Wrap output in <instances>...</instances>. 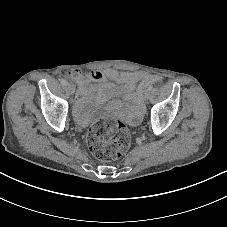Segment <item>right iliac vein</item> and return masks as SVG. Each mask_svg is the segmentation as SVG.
Returning a JSON list of instances; mask_svg holds the SVG:
<instances>
[{"label": "right iliac vein", "mask_w": 227, "mask_h": 227, "mask_svg": "<svg viewBox=\"0 0 227 227\" xmlns=\"http://www.w3.org/2000/svg\"><path fill=\"white\" fill-rule=\"evenodd\" d=\"M67 89L69 90V92H70L71 94H74V92H75V87H74L73 84H69V85L67 86Z\"/></svg>", "instance_id": "right-iliac-vein-1"}]
</instances>
